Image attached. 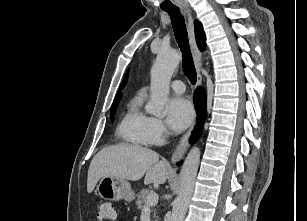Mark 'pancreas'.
I'll return each mask as SVG.
<instances>
[{
    "label": "pancreas",
    "instance_id": "pancreas-1",
    "mask_svg": "<svg viewBox=\"0 0 307 221\" xmlns=\"http://www.w3.org/2000/svg\"><path fill=\"white\" fill-rule=\"evenodd\" d=\"M152 192H153L152 189H143L140 191V193L137 196V200H136V205L139 210H141L145 206L147 196L151 194ZM152 212H154V218H156V211L152 209ZM155 221H158V220H155Z\"/></svg>",
    "mask_w": 307,
    "mask_h": 221
}]
</instances>
